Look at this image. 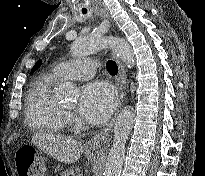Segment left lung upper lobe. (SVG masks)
<instances>
[{
  "label": "left lung upper lobe",
  "mask_w": 205,
  "mask_h": 176,
  "mask_svg": "<svg viewBox=\"0 0 205 176\" xmlns=\"http://www.w3.org/2000/svg\"><path fill=\"white\" fill-rule=\"evenodd\" d=\"M40 64H41V60H39V61L34 65L32 71H34L35 69H37L38 66H40Z\"/></svg>",
  "instance_id": "5c2ea615"
}]
</instances>
